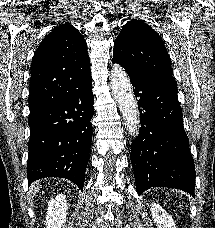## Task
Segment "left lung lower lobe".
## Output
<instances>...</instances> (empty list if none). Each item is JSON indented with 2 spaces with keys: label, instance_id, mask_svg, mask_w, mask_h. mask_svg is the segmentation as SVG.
<instances>
[{
  "label": "left lung lower lobe",
  "instance_id": "0a47b994",
  "mask_svg": "<svg viewBox=\"0 0 215 228\" xmlns=\"http://www.w3.org/2000/svg\"><path fill=\"white\" fill-rule=\"evenodd\" d=\"M129 77L141 108V127L130 156L138 194L170 187L194 195L195 167L174 77Z\"/></svg>",
  "mask_w": 215,
  "mask_h": 228
}]
</instances>
